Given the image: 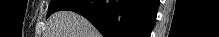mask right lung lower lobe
<instances>
[{"label": "right lung lower lobe", "instance_id": "obj_1", "mask_svg": "<svg viewBox=\"0 0 219 37\" xmlns=\"http://www.w3.org/2000/svg\"><path fill=\"white\" fill-rule=\"evenodd\" d=\"M158 5L157 0H74L60 10L79 13L104 37H149Z\"/></svg>", "mask_w": 219, "mask_h": 37}]
</instances>
